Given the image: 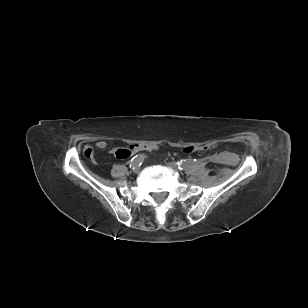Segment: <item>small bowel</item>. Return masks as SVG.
I'll list each match as a JSON object with an SVG mask.
<instances>
[{"mask_svg":"<svg viewBox=\"0 0 308 308\" xmlns=\"http://www.w3.org/2000/svg\"><path fill=\"white\" fill-rule=\"evenodd\" d=\"M96 146H97V148H99V149H105L106 147H107V143L105 142V141H103V140H100V141H98L97 143H96ZM117 150V149H116ZM115 150V151H116ZM127 158V157H126ZM214 160H219V157L217 156V157H214Z\"/></svg>","mask_w":308,"mask_h":308,"instance_id":"1","label":"small bowel"}]
</instances>
